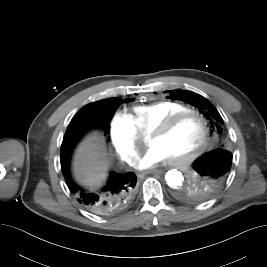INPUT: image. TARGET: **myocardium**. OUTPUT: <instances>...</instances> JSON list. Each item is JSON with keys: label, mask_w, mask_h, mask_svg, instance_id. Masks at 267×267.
<instances>
[{"label": "myocardium", "mask_w": 267, "mask_h": 267, "mask_svg": "<svg viewBox=\"0 0 267 267\" xmlns=\"http://www.w3.org/2000/svg\"><path fill=\"white\" fill-rule=\"evenodd\" d=\"M187 116H195L200 120L203 129L202 138L196 149L189 155H186L182 158L170 159V162L175 165H186L191 161H193L194 159H196L205 151L208 145V137H209V125L206 117L202 113L196 110H191V109L184 110L171 115L150 132V136L164 135L168 131H170L176 124H178L183 118Z\"/></svg>", "instance_id": "obj_1"}]
</instances>
